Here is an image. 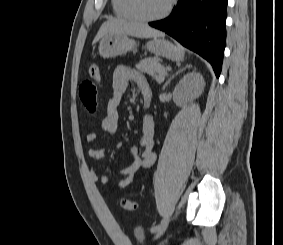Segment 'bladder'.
I'll return each instance as SVG.
<instances>
[{"label":"bladder","mask_w":283,"mask_h":245,"mask_svg":"<svg viewBox=\"0 0 283 245\" xmlns=\"http://www.w3.org/2000/svg\"><path fill=\"white\" fill-rule=\"evenodd\" d=\"M133 236L135 238L136 241H138L139 243L146 245V241H147V236H146V232L144 230V228L142 226H135L133 228Z\"/></svg>","instance_id":"bladder-1"}]
</instances>
